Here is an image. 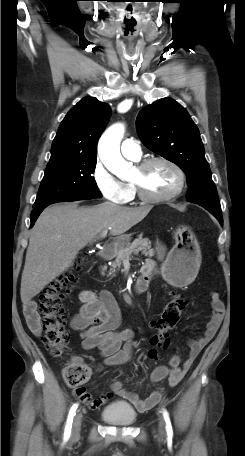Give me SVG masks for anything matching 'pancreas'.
Listing matches in <instances>:
<instances>
[{"label": "pancreas", "mask_w": 245, "mask_h": 456, "mask_svg": "<svg viewBox=\"0 0 245 456\" xmlns=\"http://www.w3.org/2000/svg\"><path fill=\"white\" fill-rule=\"evenodd\" d=\"M141 252L144 255L153 256L154 250L151 248V241L148 238H138L126 247L118 248L110 252L109 259L115 258L110 269V275H114L116 268H120L125 259L130 258L133 254L138 255Z\"/></svg>", "instance_id": "cf45deb5"}]
</instances>
